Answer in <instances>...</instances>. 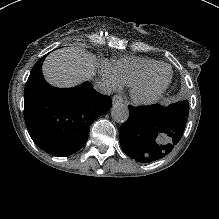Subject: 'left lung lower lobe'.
I'll use <instances>...</instances> for the list:
<instances>
[{
    "instance_id": "obj_1",
    "label": "left lung lower lobe",
    "mask_w": 219,
    "mask_h": 219,
    "mask_svg": "<svg viewBox=\"0 0 219 219\" xmlns=\"http://www.w3.org/2000/svg\"><path fill=\"white\" fill-rule=\"evenodd\" d=\"M129 119L120 129L123 151L139 162H151L167 155L182 137L186 115L155 104L129 106Z\"/></svg>"
}]
</instances>
